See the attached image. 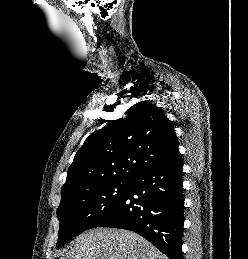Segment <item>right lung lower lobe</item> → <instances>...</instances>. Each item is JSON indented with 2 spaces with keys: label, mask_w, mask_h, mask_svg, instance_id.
I'll return each mask as SVG.
<instances>
[{
  "label": "right lung lower lobe",
  "mask_w": 248,
  "mask_h": 259,
  "mask_svg": "<svg viewBox=\"0 0 248 259\" xmlns=\"http://www.w3.org/2000/svg\"><path fill=\"white\" fill-rule=\"evenodd\" d=\"M182 174L180 156L145 170L131 180L113 213L97 227L134 231L170 259H183Z\"/></svg>",
  "instance_id": "1"
}]
</instances>
